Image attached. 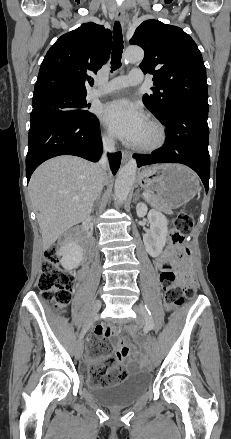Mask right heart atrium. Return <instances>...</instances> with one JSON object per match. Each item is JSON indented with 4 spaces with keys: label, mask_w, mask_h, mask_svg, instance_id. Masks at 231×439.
I'll list each match as a JSON object with an SVG mask.
<instances>
[{
    "label": "right heart atrium",
    "mask_w": 231,
    "mask_h": 439,
    "mask_svg": "<svg viewBox=\"0 0 231 439\" xmlns=\"http://www.w3.org/2000/svg\"><path fill=\"white\" fill-rule=\"evenodd\" d=\"M102 139L106 145H111L113 143L112 136L108 132L103 133Z\"/></svg>",
    "instance_id": "obj_1"
}]
</instances>
